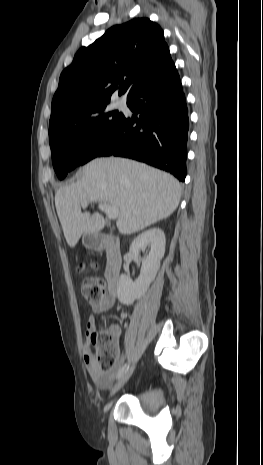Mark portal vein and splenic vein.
I'll return each instance as SVG.
<instances>
[{"mask_svg": "<svg viewBox=\"0 0 263 465\" xmlns=\"http://www.w3.org/2000/svg\"><path fill=\"white\" fill-rule=\"evenodd\" d=\"M81 205L83 208H86L88 205V202H84ZM99 209L102 212H104L108 216L109 219H112V220H115L119 215V209L117 207L110 206L108 204L100 203Z\"/></svg>", "mask_w": 263, "mask_h": 465, "instance_id": "obj_1", "label": "portal vein and splenic vein"}]
</instances>
